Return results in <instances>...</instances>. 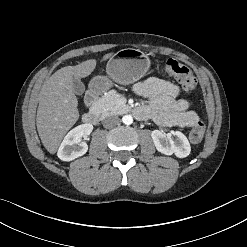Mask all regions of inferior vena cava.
<instances>
[{"label": "inferior vena cava", "instance_id": "inferior-vena-cava-1", "mask_svg": "<svg viewBox=\"0 0 247 247\" xmlns=\"http://www.w3.org/2000/svg\"><path fill=\"white\" fill-rule=\"evenodd\" d=\"M120 123V119L118 116H108L103 120V125L108 128L115 126Z\"/></svg>", "mask_w": 247, "mask_h": 247}]
</instances>
